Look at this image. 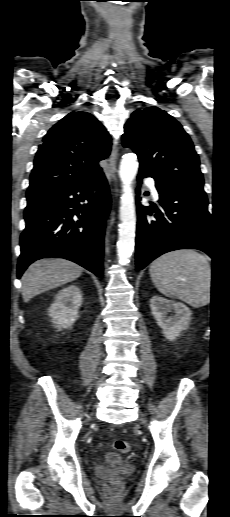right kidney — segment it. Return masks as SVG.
I'll return each mask as SVG.
<instances>
[{"label": "right kidney", "instance_id": "obj_1", "mask_svg": "<svg viewBox=\"0 0 230 517\" xmlns=\"http://www.w3.org/2000/svg\"><path fill=\"white\" fill-rule=\"evenodd\" d=\"M81 303L82 293L76 285L60 290L48 310L54 326L59 330L70 328L78 318Z\"/></svg>", "mask_w": 230, "mask_h": 517}]
</instances>
